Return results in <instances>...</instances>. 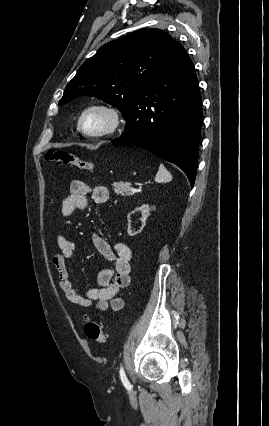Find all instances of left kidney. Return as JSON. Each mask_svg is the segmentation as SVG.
<instances>
[{
  "mask_svg": "<svg viewBox=\"0 0 269 426\" xmlns=\"http://www.w3.org/2000/svg\"><path fill=\"white\" fill-rule=\"evenodd\" d=\"M155 206H149L148 204H143L140 207L135 208L129 215H128V229L127 233L129 236H134L138 233H140L143 230V227L145 226V221L147 217L150 214L151 210H154ZM138 214L140 215L139 220L142 222V226L139 228H136V223H138V220H132L131 215Z\"/></svg>",
  "mask_w": 269,
  "mask_h": 426,
  "instance_id": "obj_1",
  "label": "left kidney"
}]
</instances>
